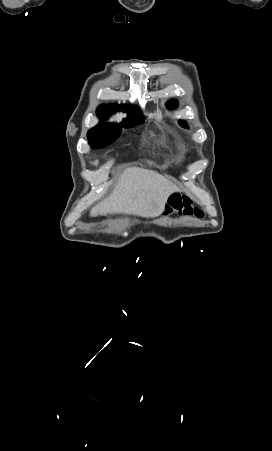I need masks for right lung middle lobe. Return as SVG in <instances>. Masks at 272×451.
<instances>
[{
  "mask_svg": "<svg viewBox=\"0 0 272 451\" xmlns=\"http://www.w3.org/2000/svg\"><path fill=\"white\" fill-rule=\"evenodd\" d=\"M111 113H97L98 117L106 120ZM144 122L139 109L129 111L128 117L120 125L101 122L88 131L87 137L92 148H103L116 140L121 133V127H133Z\"/></svg>",
  "mask_w": 272,
  "mask_h": 451,
  "instance_id": "right-lung-middle-lobe-1",
  "label": "right lung middle lobe"
}]
</instances>
